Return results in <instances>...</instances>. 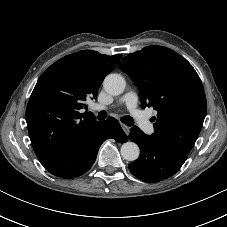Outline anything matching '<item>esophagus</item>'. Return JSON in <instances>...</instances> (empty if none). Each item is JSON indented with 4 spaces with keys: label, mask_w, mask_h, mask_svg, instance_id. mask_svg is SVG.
<instances>
[{
    "label": "esophagus",
    "mask_w": 227,
    "mask_h": 227,
    "mask_svg": "<svg viewBox=\"0 0 227 227\" xmlns=\"http://www.w3.org/2000/svg\"><path fill=\"white\" fill-rule=\"evenodd\" d=\"M121 127L123 128V130L126 133V135H129L130 127L125 125V124H121Z\"/></svg>",
    "instance_id": "34e87169"
}]
</instances>
